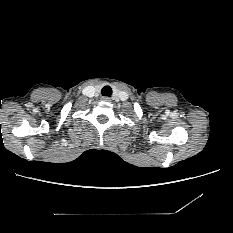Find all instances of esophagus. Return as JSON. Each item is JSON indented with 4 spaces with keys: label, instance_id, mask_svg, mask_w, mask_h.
Masks as SVG:
<instances>
[{
    "label": "esophagus",
    "instance_id": "esophagus-1",
    "mask_svg": "<svg viewBox=\"0 0 233 233\" xmlns=\"http://www.w3.org/2000/svg\"><path fill=\"white\" fill-rule=\"evenodd\" d=\"M102 101H110V98L109 97H107V96H104V97H102Z\"/></svg>",
    "mask_w": 233,
    "mask_h": 233
}]
</instances>
